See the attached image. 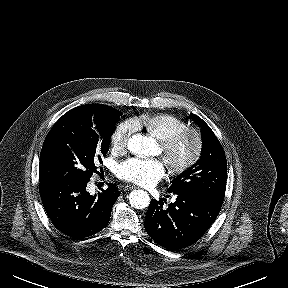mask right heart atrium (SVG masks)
<instances>
[{"instance_id":"1","label":"right heart atrium","mask_w":288,"mask_h":288,"mask_svg":"<svg viewBox=\"0 0 288 288\" xmlns=\"http://www.w3.org/2000/svg\"><path fill=\"white\" fill-rule=\"evenodd\" d=\"M134 129L135 126L131 121H124L118 124L111 135V144L113 149L118 151L125 150Z\"/></svg>"}]
</instances>
